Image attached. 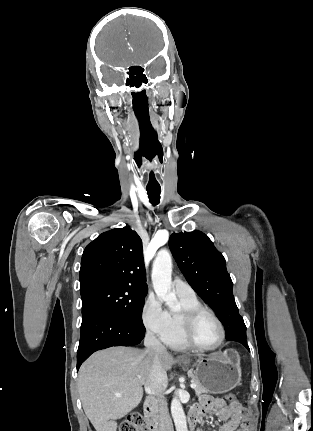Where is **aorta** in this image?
Returning a JSON list of instances; mask_svg holds the SVG:
<instances>
[{
    "mask_svg": "<svg viewBox=\"0 0 313 431\" xmlns=\"http://www.w3.org/2000/svg\"><path fill=\"white\" fill-rule=\"evenodd\" d=\"M172 258L169 251L162 249L157 253L153 263L152 282L157 296L165 301L171 310L177 308V297L171 291ZM171 414L176 431H188L186 416L178 398L171 401Z\"/></svg>",
    "mask_w": 313,
    "mask_h": 431,
    "instance_id": "1",
    "label": "aorta"
}]
</instances>
